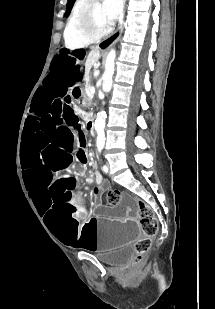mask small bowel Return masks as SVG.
I'll use <instances>...</instances> for the list:
<instances>
[{
	"label": "small bowel",
	"instance_id": "1",
	"mask_svg": "<svg viewBox=\"0 0 215 309\" xmlns=\"http://www.w3.org/2000/svg\"><path fill=\"white\" fill-rule=\"evenodd\" d=\"M100 193H101L100 187H94V189L92 190V194L94 195L95 198H97L100 195Z\"/></svg>",
	"mask_w": 215,
	"mask_h": 309
}]
</instances>
